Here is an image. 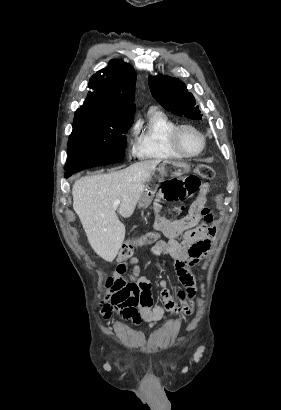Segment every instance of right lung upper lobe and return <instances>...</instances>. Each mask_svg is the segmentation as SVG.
<instances>
[{"mask_svg": "<svg viewBox=\"0 0 281 410\" xmlns=\"http://www.w3.org/2000/svg\"><path fill=\"white\" fill-rule=\"evenodd\" d=\"M135 81V71L130 65L112 60L107 68L90 78L88 86L92 91L77 110H94L118 117L133 116Z\"/></svg>", "mask_w": 281, "mask_h": 410, "instance_id": "obj_1", "label": "right lung upper lobe"}]
</instances>
